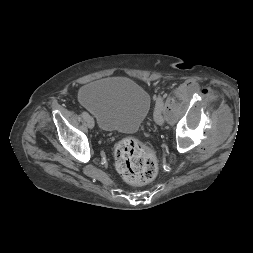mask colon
<instances>
[{"mask_svg": "<svg viewBox=\"0 0 253 253\" xmlns=\"http://www.w3.org/2000/svg\"><path fill=\"white\" fill-rule=\"evenodd\" d=\"M114 156L117 170L127 183L144 185L155 179L158 171L156 157L143 142L125 138L117 144Z\"/></svg>", "mask_w": 253, "mask_h": 253, "instance_id": "colon-1", "label": "colon"}]
</instances>
